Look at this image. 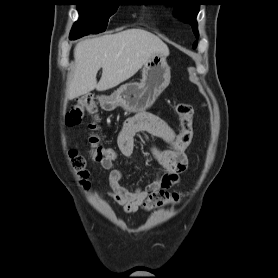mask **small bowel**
<instances>
[{
	"label": "small bowel",
	"instance_id": "c3829d8e",
	"mask_svg": "<svg viewBox=\"0 0 278 278\" xmlns=\"http://www.w3.org/2000/svg\"><path fill=\"white\" fill-rule=\"evenodd\" d=\"M140 133H149L165 143V147L151 146L150 149L159 166L158 175L152 183L144 188L128 190L121 185L123 174L116 166L117 158L99 162L103 169L109 171L108 196L121 205L127 214L136 213L150 194L166 191L177 184L188 165L186 154L177 152L172 147L176 136L174 129L161 115L151 112L136 114L124 122L117 139L118 150L122 155L131 156L134 153Z\"/></svg>",
	"mask_w": 278,
	"mask_h": 278
}]
</instances>
